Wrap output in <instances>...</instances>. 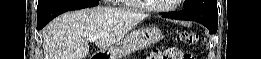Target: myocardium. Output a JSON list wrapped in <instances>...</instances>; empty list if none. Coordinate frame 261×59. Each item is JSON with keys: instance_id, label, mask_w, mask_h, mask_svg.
Returning <instances> with one entry per match:
<instances>
[{"instance_id": "myocardium-1", "label": "myocardium", "mask_w": 261, "mask_h": 59, "mask_svg": "<svg viewBox=\"0 0 261 59\" xmlns=\"http://www.w3.org/2000/svg\"><path fill=\"white\" fill-rule=\"evenodd\" d=\"M181 2H182V0H176L173 5L167 6V7L155 6V5L148 3L147 1H141V4H142L143 8L148 11L157 12V13H166V12H171V11L177 9Z\"/></svg>"}]
</instances>
